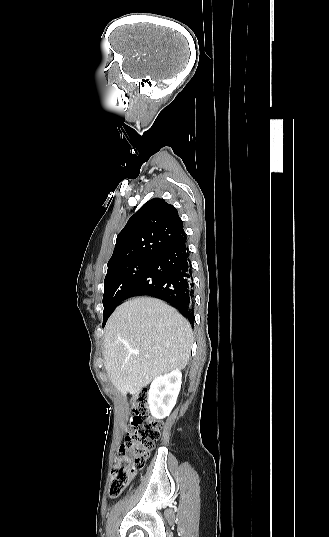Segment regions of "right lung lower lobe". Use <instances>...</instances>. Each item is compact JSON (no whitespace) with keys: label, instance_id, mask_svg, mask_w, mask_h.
I'll list each match as a JSON object with an SVG mask.
<instances>
[{"label":"right lung lower lobe","instance_id":"98d812e1","mask_svg":"<svg viewBox=\"0 0 329 537\" xmlns=\"http://www.w3.org/2000/svg\"><path fill=\"white\" fill-rule=\"evenodd\" d=\"M186 235L152 260L123 300L148 295L162 299L194 321V283ZM122 300V301H123Z\"/></svg>","mask_w":329,"mask_h":537}]
</instances>
